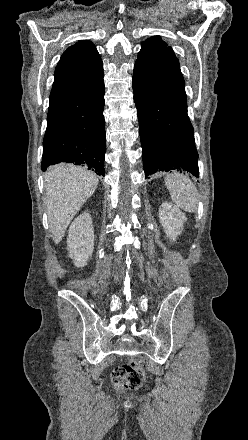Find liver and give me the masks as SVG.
Wrapping results in <instances>:
<instances>
[{
	"label": "liver",
	"instance_id": "obj_1",
	"mask_svg": "<svg viewBox=\"0 0 248 440\" xmlns=\"http://www.w3.org/2000/svg\"><path fill=\"white\" fill-rule=\"evenodd\" d=\"M98 178L73 164H59L44 176L45 204L52 238L58 244L83 204L95 192Z\"/></svg>",
	"mask_w": 248,
	"mask_h": 440
}]
</instances>
